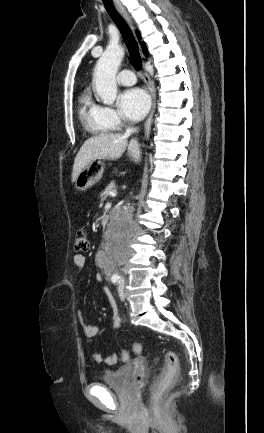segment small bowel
I'll return each instance as SVG.
<instances>
[{
  "mask_svg": "<svg viewBox=\"0 0 264 433\" xmlns=\"http://www.w3.org/2000/svg\"><path fill=\"white\" fill-rule=\"evenodd\" d=\"M85 264H86V257L85 256H83L81 254H77L74 256V265L77 268L78 272H81L84 269ZM96 281L98 283L103 282L102 276L100 274L96 275ZM104 290L108 295L110 294L108 288L104 287ZM78 318H79V321L82 325L84 334L88 338H94L98 335V332H99L98 327L96 325L86 323L81 312L78 313ZM113 320H114V323L116 325L119 324V318L117 315H114ZM90 357L95 363L105 362L107 365H114L117 362V356L115 354L109 355L105 359H103L99 353L92 352L90 354Z\"/></svg>",
  "mask_w": 264,
  "mask_h": 433,
  "instance_id": "small-bowel-1",
  "label": "small bowel"
}]
</instances>
